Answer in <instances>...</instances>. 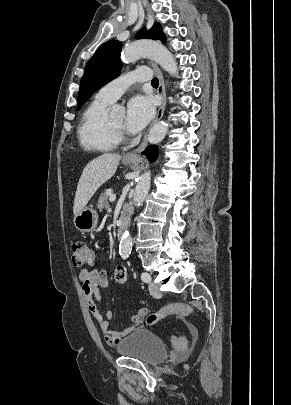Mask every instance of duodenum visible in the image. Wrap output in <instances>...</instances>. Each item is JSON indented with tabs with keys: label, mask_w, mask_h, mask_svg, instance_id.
I'll use <instances>...</instances> for the list:
<instances>
[{
	"label": "duodenum",
	"mask_w": 291,
	"mask_h": 405,
	"mask_svg": "<svg viewBox=\"0 0 291 405\" xmlns=\"http://www.w3.org/2000/svg\"><path fill=\"white\" fill-rule=\"evenodd\" d=\"M126 222H127V211L124 210L122 213L121 224L118 228V237H120V235L123 233Z\"/></svg>",
	"instance_id": "410a0bca"
}]
</instances>
